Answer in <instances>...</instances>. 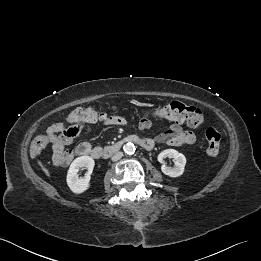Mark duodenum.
Masks as SVG:
<instances>
[{"label": "duodenum", "mask_w": 261, "mask_h": 261, "mask_svg": "<svg viewBox=\"0 0 261 261\" xmlns=\"http://www.w3.org/2000/svg\"><path fill=\"white\" fill-rule=\"evenodd\" d=\"M128 142L136 143L146 150H150L154 146V142L152 140L146 139L139 135L134 134V135H130V136L126 137L125 139H123L115 144L105 147L101 151L100 155H102V157H104V158H107V157L111 156L112 154L118 152Z\"/></svg>", "instance_id": "410a0bca"}]
</instances>
